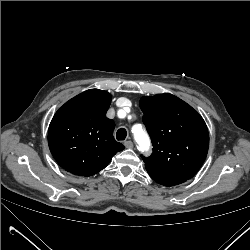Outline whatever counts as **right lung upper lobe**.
<instances>
[{"instance_id":"cb5924a9","label":"right lung upper lobe","mask_w":250,"mask_h":250,"mask_svg":"<svg viewBox=\"0 0 250 250\" xmlns=\"http://www.w3.org/2000/svg\"><path fill=\"white\" fill-rule=\"evenodd\" d=\"M111 95L90 89L66 102L54 115L48 144L57 163L78 176H92L124 149L113 137L115 123L106 117Z\"/></svg>"}]
</instances>
